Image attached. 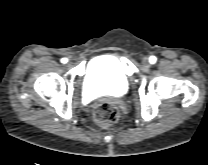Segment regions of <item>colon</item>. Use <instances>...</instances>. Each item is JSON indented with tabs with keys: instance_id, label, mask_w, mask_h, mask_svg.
Returning <instances> with one entry per match:
<instances>
[{
	"instance_id": "colon-1",
	"label": "colon",
	"mask_w": 208,
	"mask_h": 165,
	"mask_svg": "<svg viewBox=\"0 0 208 165\" xmlns=\"http://www.w3.org/2000/svg\"><path fill=\"white\" fill-rule=\"evenodd\" d=\"M93 115L101 128H109L117 121L119 110L114 103L103 101L96 105Z\"/></svg>"
}]
</instances>
